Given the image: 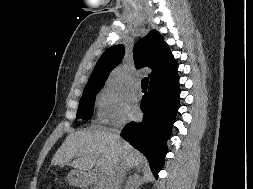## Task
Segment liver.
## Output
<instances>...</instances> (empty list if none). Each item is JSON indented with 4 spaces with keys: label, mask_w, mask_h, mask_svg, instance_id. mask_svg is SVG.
Segmentation results:
<instances>
[{
    "label": "liver",
    "mask_w": 253,
    "mask_h": 189,
    "mask_svg": "<svg viewBox=\"0 0 253 189\" xmlns=\"http://www.w3.org/2000/svg\"><path fill=\"white\" fill-rule=\"evenodd\" d=\"M144 160L139 151L114 133L80 130L66 137L51 164L68 165L81 171L96 165L106 177L120 163L131 168L139 166Z\"/></svg>",
    "instance_id": "6515ba94"
}]
</instances>
